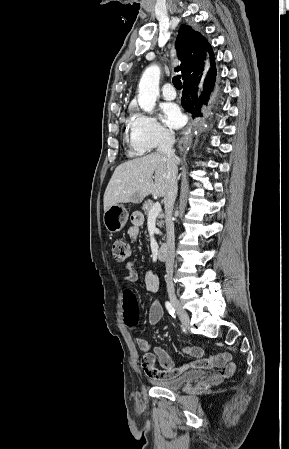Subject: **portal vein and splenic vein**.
Listing matches in <instances>:
<instances>
[{
	"mask_svg": "<svg viewBox=\"0 0 289 449\" xmlns=\"http://www.w3.org/2000/svg\"><path fill=\"white\" fill-rule=\"evenodd\" d=\"M161 210V205L159 203H155L149 211V218H156L160 214Z\"/></svg>",
	"mask_w": 289,
	"mask_h": 449,
	"instance_id": "portal-vein-and-splenic-vein-1",
	"label": "portal vein and splenic vein"
}]
</instances>
